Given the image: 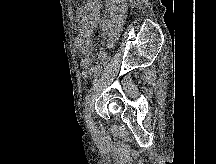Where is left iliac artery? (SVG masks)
Wrapping results in <instances>:
<instances>
[{"label": "left iliac artery", "instance_id": "1", "mask_svg": "<svg viewBox=\"0 0 216 164\" xmlns=\"http://www.w3.org/2000/svg\"><path fill=\"white\" fill-rule=\"evenodd\" d=\"M91 95L90 94H88L87 96H86V101H85V104H84V106H85V118H86V123H87V125H88V127L90 128V129H94V124L91 122V110H90V108H91V97H90Z\"/></svg>", "mask_w": 216, "mask_h": 164}]
</instances>
